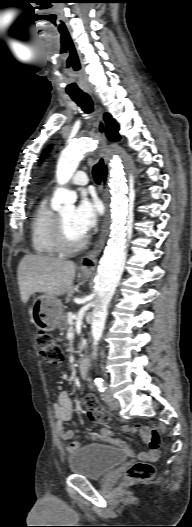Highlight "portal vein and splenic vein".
Segmentation results:
<instances>
[{"label":"portal vein and splenic vein","mask_w":192,"mask_h":527,"mask_svg":"<svg viewBox=\"0 0 192 527\" xmlns=\"http://www.w3.org/2000/svg\"><path fill=\"white\" fill-rule=\"evenodd\" d=\"M74 317H75V315H74L73 313H69V314H68V323H69L70 325L73 324Z\"/></svg>","instance_id":"portal-vein-and-splenic-vein-1"}]
</instances>
